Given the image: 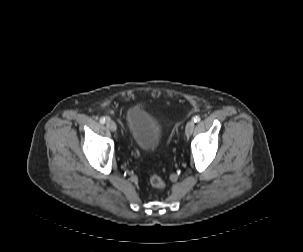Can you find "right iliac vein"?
<instances>
[{
  "instance_id": "1",
  "label": "right iliac vein",
  "mask_w": 303,
  "mask_h": 252,
  "mask_svg": "<svg viewBox=\"0 0 303 252\" xmlns=\"http://www.w3.org/2000/svg\"><path fill=\"white\" fill-rule=\"evenodd\" d=\"M106 126H107V128L110 129L111 131H116V130H117V125H116V123H115L114 121H112V120H108V121L106 122Z\"/></svg>"
}]
</instances>
